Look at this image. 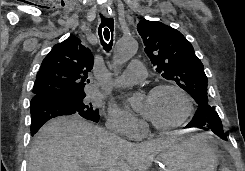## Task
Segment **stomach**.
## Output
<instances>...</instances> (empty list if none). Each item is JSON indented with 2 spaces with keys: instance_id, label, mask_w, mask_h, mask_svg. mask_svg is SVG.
I'll use <instances>...</instances> for the list:
<instances>
[{
  "instance_id": "obj_1",
  "label": "stomach",
  "mask_w": 245,
  "mask_h": 171,
  "mask_svg": "<svg viewBox=\"0 0 245 171\" xmlns=\"http://www.w3.org/2000/svg\"><path fill=\"white\" fill-rule=\"evenodd\" d=\"M161 171H216L218 142L211 133L182 136L158 156Z\"/></svg>"
}]
</instances>
